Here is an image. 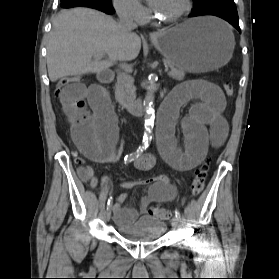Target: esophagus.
I'll return each mask as SVG.
<instances>
[{
  "label": "esophagus",
  "instance_id": "1",
  "mask_svg": "<svg viewBox=\"0 0 279 279\" xmlns=\"http://www.w3.org/2000/svg\"><path fill=\"white\" fill-rule=\"evenodd\" d=\"M158 36V32H152L150 33V38H155Z\"/></svg>",
  "mask_w": 279,
  "mask_h": 279
}]
</instances>
